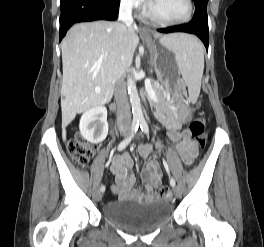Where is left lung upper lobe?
I'll return each instance as SVG.
<instances>
[{"instance_id":"left-lung-upper-lobe-1","label":"left lung upper lobe","mask_w":264,"mask_h":247,"mask_svg":"<svg viewBox=\"0 0 264 247\" xmlns=\"http://www.w3.org/2000/svg\"><path fill=\"white\" fill-rule=\"evenodd\" d=\"M195 3L196 11H207L208 0H193Z\"/></svg>"}]
</instances>
